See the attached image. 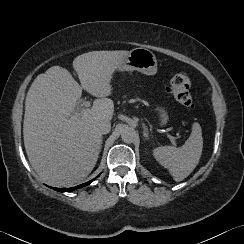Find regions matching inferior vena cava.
<instances>
[{
    "instance_id": "obj_1",
    "label": "inferior vena cava",
    "mask_w": 244,
    "mask_h": 244,
    "mask_svg": "<svg viewBox=\"0 0 244 244\" xmlns=\"http://www.w3.org/2000/svg\"><path fill=\"white\" fill-rule=\"evenodd\" d=\"M111 123L108 120H101L97 123V130L100 134H107L110 132Z\"/></svg>"
}]
</instances>
